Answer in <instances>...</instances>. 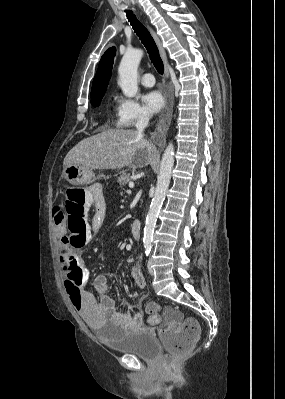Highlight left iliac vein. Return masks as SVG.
<instances>
[{
  "mask_svg": "<svg viewBox=\"0 0 285 399\" xmlns=\"http://www.w3.org/2000/svg\"><path fill=\"white\" fill-rule=\"evenodd\" d=\"M147 267H148V272H149V274H150L151 276H153V275H154V269H153V267H152V265H151V261H150V260H148Z\"/></svg>",
  "mask_w": 285,
  "mask_h": 399,
  "instance_id": "left-iliac-vein-1",
  "label": "left iliac vein"
}]
</instances>
